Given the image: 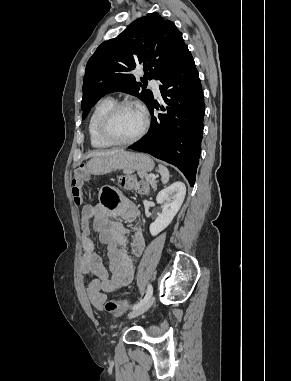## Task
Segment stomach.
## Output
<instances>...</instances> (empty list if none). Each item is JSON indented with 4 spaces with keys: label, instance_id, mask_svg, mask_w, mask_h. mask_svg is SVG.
I'll use <instances>...</instances> for the list:
<instances>
[{
    "label": "stomach",
    "instance_id": "stomach-1",
    "mask_svg": "<svg viewBox=\"0 0 291 381\" xmlns=\"http://www.w3.org/2000/svg\"><path fill=\"white\" fill-rule=\"evenodd\" d=\"M85 167L86 172L93 175H104L121 169L147 173L154 168V162L146 154L123 151L113 155L94 157Z\"/></svg>",
    "mask_w": 291,
    "mask_h": 381
}]
</instances>
